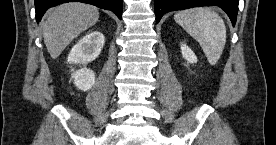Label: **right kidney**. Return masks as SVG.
<instances>
[{
  "instance_id": "right-kidney-1",
  "label": "right kidney",
  "mask_w": 276,
  "mask_h": 145,
  "mask_svg": "<svg viewBox=\"0 0 276 145\" xmlns=\"http://www.w3.org/2000/svg\"><path fill=\"white\" fill-rule=\"evenodd\" d=\"M104 35L99 31H91L76 43L68 55V63L83 65L79 70L72 69L71 78L75 86L88 91L95 84V73L86 67L100 54L104 46Z\"/></svg>"
}]
</instances>
